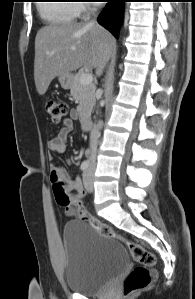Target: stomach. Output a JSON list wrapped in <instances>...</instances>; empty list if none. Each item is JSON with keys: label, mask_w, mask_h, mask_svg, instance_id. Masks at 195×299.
Returning a JSON list of instances; mask_svg holds the SVG:
<instances>
[{"label": "stomach", "mask_w": 195, "mask_h": 299, "mask_svg": "<svg viewBox=\"0 0 195 299\" xmlns=\"http://www.w3.org/2000/svg\"><path fill=\"white\" fill-rule=\"evenodd\" d=\"M73 75L71 73H68V74H64V75H60L58 77V80L61 84V87L63 89H70L72 87V84H73Z\"/></svg>", "instance_id": "stomach-1"}]
</instances>
